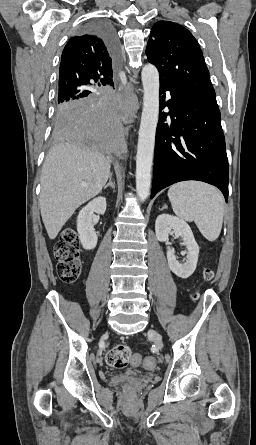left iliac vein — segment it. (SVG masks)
<instances>
[{
	"label": "left iliac vein",
	"mask_w": 256,
	"mask_h": 445,
	"mask_svg": "<svg viewBox=\"0 0 256 445\" xmlns=\"http://www.w3.org/2000/svg\"><path fill=\"white\" fill-rule=\"evenodd\" d=\"M149 334L153 340V342L157 345L160 346L162 344V338L160 336V334L158 332H156L155 330L151 329L149 331Z\"/></svg>",
	"instance_id": "left-iliac-vein-1"
}]
</instances>
